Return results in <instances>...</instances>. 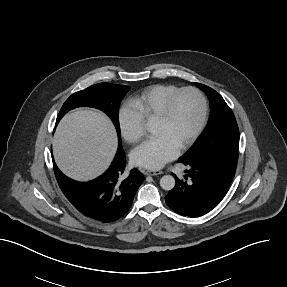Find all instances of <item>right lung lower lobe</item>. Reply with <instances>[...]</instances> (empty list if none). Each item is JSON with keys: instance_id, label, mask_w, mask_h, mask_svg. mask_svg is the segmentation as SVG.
Wrapping results in <instances>:
<instances>
[{"instance_id": "right-lung-lower-lobe-1", "label": "right lung lower lobe", "mask_w": 287, "mask_h": 287, "mask_svg": "<svg viewBox=\"0 0 287 287\" xmlns=\"http://www.w3.org/2000/svg\"><path fill=\"white\" fill-rule=\"evenodd\" d=\"M53 164L65 197L83 215L103 223L115 221L126 214L144 181L143 174L135 168L127 177L123 176L126 166L123 148H118L109 169L89 182L74 181L58 169L54 160Z\"/></svg>"}]
</instances>
